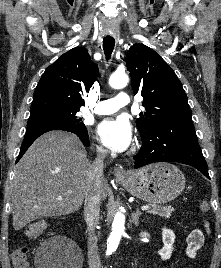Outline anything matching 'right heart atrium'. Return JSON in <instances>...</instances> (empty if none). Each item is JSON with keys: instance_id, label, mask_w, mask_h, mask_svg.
I'll return each mask as SVG.
<instances>
[{"instance_id": "right-heart-atrium-1", "label": "right heart atrium", "mask_w": 221, "mask_h": 268, "mask_svg": "<svg viewBox=\"0 0 221 268\" xmlns=\"http://www.w3.org/2000/svg\"><path fill=\"white\" fill-rule=\"evenodd\" d=\"M95 149H96V151L99 154H103L104 153V149L101 146H99V145H95Z\"/></svg>"}]
</instances>
